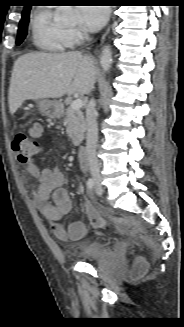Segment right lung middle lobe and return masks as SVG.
Wrapping results in <instances>:
<instances>
[{"instance_id": "right-lung-middle-lobe-1", "label": "right lung middle lobe", "mask_w": 184, "mask_h": 327, "mask_svg": "<svg viewBox=\"0 0 184 327\" xmlns=\"http://www.w3.org/2000/svg\"><path fill=\"white\" fill-rule=\"evenodd\" d=\"M29 15H30V11L24 12L22 14V19L19 23V28H18V33H17V40H16L17 45H20L27 35Z\"/></svg>"}]
</instances>
